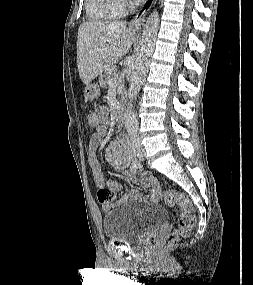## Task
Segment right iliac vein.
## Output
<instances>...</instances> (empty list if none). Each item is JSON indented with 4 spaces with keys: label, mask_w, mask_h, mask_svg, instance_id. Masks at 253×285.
I'll return each instance as SVG.
<instances>
[{
    "label": "right iliac vein",
    "mask_w": 253,
    "mask_h": 285,
    "mask_svg": "<svg viewBox=\"0 0 253 285\" xmlns=\"http://www.w3.org/2000/svg\"><path fill=\"white\" fill-rule=\"evenodd\" d=\"M134 155L140 159V151L138 149L134 150Z\"/></svg>",
    "instance_id": "obj_1"
}]
</instances>
